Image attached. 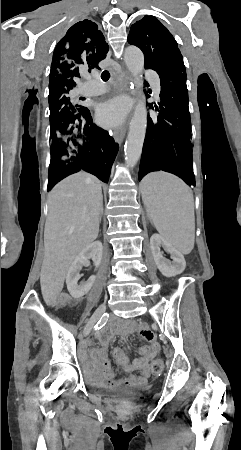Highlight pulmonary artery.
<instances>
[{
	"instance_id": "obj_1",
	"label": "pulmonary artery",
	"mask_w": 241,
	"mask_h": 450,
	"mask_svg": "<svg viewBox=\"0 0 241 450\" xmlns=\"http://www.w3.org/2000/svg\"><path fill=\"white\" fill-rule=\"evenodd\" d=\"M144 77L146 79V82L150 84L152 88H154V94L157 96L160 95L162 91L160 89L161 84L157 82L158 72L146 71ZM88 85L90 87H94L95 90H100L101 92H106L108 90V85L106 83H103V81L99 78H90L88 80Z\"/></svg>"
}]
</instances>
